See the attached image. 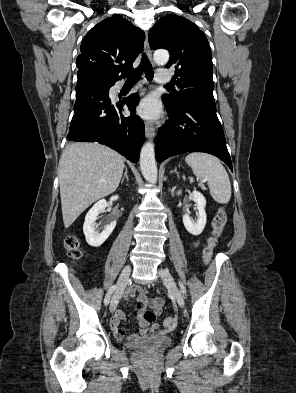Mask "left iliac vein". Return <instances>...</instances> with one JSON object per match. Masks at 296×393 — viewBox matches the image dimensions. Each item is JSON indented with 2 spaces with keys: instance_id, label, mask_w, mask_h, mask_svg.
I'll return each mask as SVG.
<instances>
[{
  "instance_id": "4c4485c4",
  "label": "left iliac vein",
  "mask_w": 296,
  "mask_h": 393,
  "mask_svg": "<svg viewBox=\"0 0 296 393\" xmlns=\"http://www.w3.org/2000/svg\"><path fill=\"white\" fill-rule=\"evenodd\" d=\"M158 273L161 276L169 293L176 299L179 306L183 307L184 306V297H183L181 291L179 290L172 275L169 273L168 270L162 269V268L158 270Z\"/></svg>"
}]
</instances>
